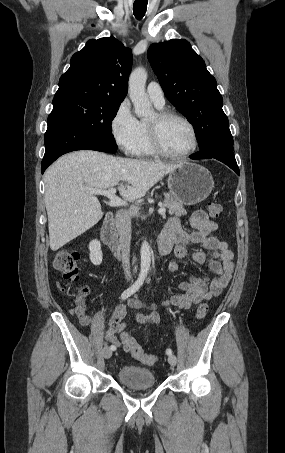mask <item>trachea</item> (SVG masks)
I'll use <instances>...</instances> for the list:
<instances>
[{
  "label": "trachea",
  "instance_id": "obj_1",
  "mask_svg": "<svg viewBox=\"0 0 285 453\" xmlns=\"http://www.w3.org/2000/svg\"><path fill=\"white\" fill-rule=\"evenodd\" d=\"M147 1L146 0H136L133 5V13L136 19L141 20L146 13Z\"/></svg>",
  "mask_w": 285,
  "mask_h": 453
}]
</instances>
